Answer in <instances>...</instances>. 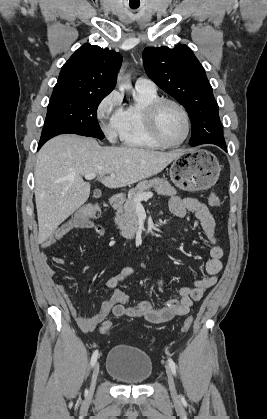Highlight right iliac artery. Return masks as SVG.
I'll return each instance as SVG.
<instances>
[{
  "mask_svg": "<svg viewBox=\"0 0 267 419\" xmlns=\"http://www.w3.org/2000/svg\"><path fill=\"white\" fill-rule=\"evenodd\" d=\"M98 358V350L94 351L91 357V367H93Z\"/></svg>",
  "mask_w": 267,
  "mask_h": 419,
  "instance_id": "1",
  "label": "right iliac artery"
}]
</instances>
